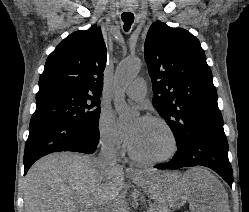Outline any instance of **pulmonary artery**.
<instances>
[{"label":"pulmonary artery","instance_id":"pulmonary-artery-1","mask_svg":"<svg viewBox=\"0 0 249 212\" xmlns=\"http://www.w3.org/2000/svg\"><path fill=\"white\" fill-rule=\"evenodd\" d=\"M147 93V83L143 78L135 79L126 89L125 94L132 100L141 101Z\"/></svg>","mask_w":249,"mask_h":212}]
</instances>
